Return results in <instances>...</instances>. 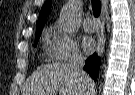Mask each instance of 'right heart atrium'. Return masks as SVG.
<instances>
[{"instance_id":"d8ad5b80","label":"right heart atrium","mask_w":135,"mask_h":95,"mask_svg":"<svg viewBox=\"0 0 135 95\" xmlns=\"http://www.w3.org/2000/svg\"><path fill=\"white\" fill-rule=\"evenodd\" d=\"M50 43L49 54L56 62H65L71 59L81 58L82 54L76 40L67 34L60 26H55Z\"/></svg>"}]
</instances>
